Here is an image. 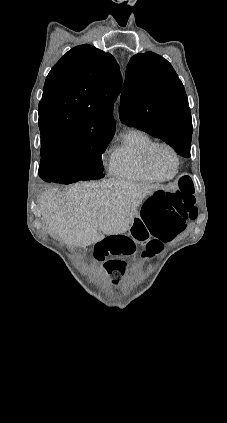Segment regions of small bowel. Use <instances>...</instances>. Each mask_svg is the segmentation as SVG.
Segmentation results:
<instances>
[{"label":"small bowel","instance_id":"obj_1","mask_svg":"<svg viewBox=\"0 0 227 423\" xmlns=\"http://www.w3.org/2000/svg\"><path fill=\"white\" fill-rule=\"evenodd\" d=\"M134 225L140 226L141 229H143V233H144L143 237L140 238L139 240H135V242H138V241H148V243L154 242L157 245V248H156L157 252H159L163 248L164 242H162L161 240H159L158 238H156L149 232L143 220H141L140 218L136 219L133 226Z\"/></svg>","mask_w":227,"mask_h":423}]
</instances>
